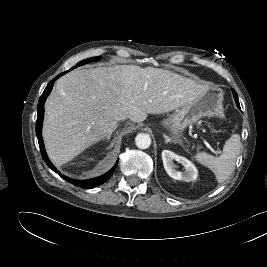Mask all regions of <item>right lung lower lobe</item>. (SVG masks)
Instances as JSON below:
<instances>
[{
    "instance_id": "obj_1",
    "label": "right lung lower lobe",
    "mask_w": 267,
    "mask_h": 267,
    "mask_svg": "<svg viewBox=\"0 0 267 267\" xmlns=\"http://www.w3.org/2000/svg\"><path fill=\"white\" fill-rule=\"evenodd\" d=\"M66 73V72H64ZM64 73L60 74L59 76H57L56 78H54L45 88L42 96L39 99L38 102V108H37V121H36V134H37V138H38V142H39V146H40V150H41V154L42 157L44 159V161L46 162V164L54 171L56 172L58 175H60L62 178H64L66 181L73 183L75 186L78 187H82V188H93L96 187L102 183H104L105 181H107L110 176L112 175L113 171L115 170L118 161L116 162V164L113 166V168L111 170H109L107 173H105L104 175H101L100 177L97 178H93V179H88V180H82V181H75L71 178H68L64 175H62L59 171H57V169L54 167V165L50 162V160L48 159V156L45 152V148H44V144H43V139H42V135H41V130H42V121H43V116H44V102L47 98V96L49 95V93L52 90L53 87V83L54 81L59 78L61 75H63Z\"/></svg>"
}]
</instances>
